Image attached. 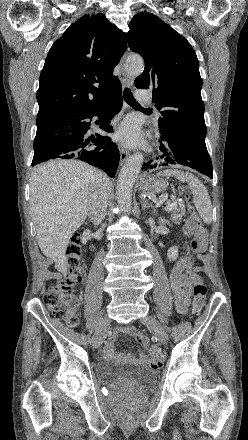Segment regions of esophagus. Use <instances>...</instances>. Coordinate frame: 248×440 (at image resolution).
Wrapping results in <instances>:
<instances>
[{
  "instance_id": "obj_1",
  "label": "esophagus",
  "mask_w": 248,
  "mask_h": 440,
  "mask_svg": "<svg viewBox=\"0 0 248 440\" xmlns=\"http://www.w3.org/2000/svg\"><path fill=\"white\" fill-rule=\"evenodd\" d=\"M125 57H126V55H123V57L121 58L120 63H119L120 79L125 86L130 87L133 85V81L125 70V67H124ZM119 152H120V164L122 165L126 161V159L128 158L129 151L127 149H125L124 147H120Z\"/></svg>"
}]
</instances>
